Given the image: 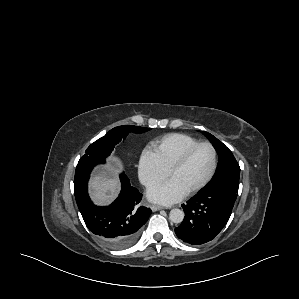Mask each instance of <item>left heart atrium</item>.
Returning a JSON list of instances; mask_svg holds the SVG:
<instances>
[{"label":"left heart atrium","instance_id":"obj_1","mask_svg":"<svg viewBox=\"0 0 299 299\" xmlns=\"http://www.w3.org/2000/svg\"><path fill=\"white\" fill-rule=\"evenodd\" d=\"M186 195V191L174 180H169L166 183L152 187L148 191L150 200L170 205L181 200Z\"/></svg>","mask_w":299,"mask_h":299}]
</instances>
